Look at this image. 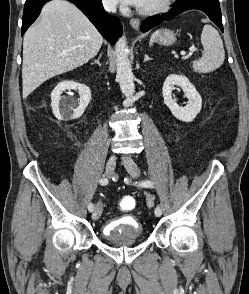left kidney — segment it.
<instances>
[{
  "mask_svg": "<svg viewBox=\"0 0 249 294\" xmlns=\"http://www.w3.org/2000/svg\"><path fill=\"white\" fill-rule=\"evenodd\" d=\"M174 85L183 89L188 98V104L184 107L177 104L176 99L172 97ZM162 94L164 103L170 109L173 116L184 122H192L202 108V98L194 85L184 75L170 74L164 81Z\"/></svg>",
  "mask_w": 249,
  "mask_h": 294,
  "instance_id": "left-kidney-1",
  "label": "left kidney"
}]
</instances>
